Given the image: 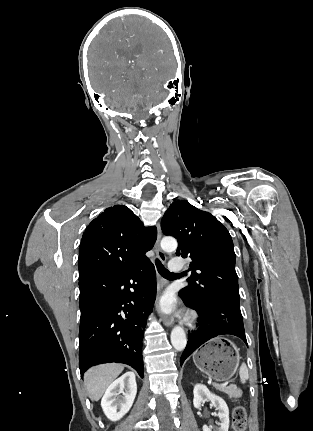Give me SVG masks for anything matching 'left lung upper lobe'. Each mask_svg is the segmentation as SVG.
Wrapping results in <instances>:
<instances>
[{"mask_svg": "<svg viewBox=\"0 0 313 431\" xmlns=\"http://www.w3.org/2000/svg\"><path fill=\"white\" fill-rule=\"evenodd\" d=\"M166 235L178 241L177 256L191 258L189 284L180 290L191 304L207 301L239 303L233 241L222 223L212 214L187 201L173 202L161 220Z\"/></svg>", "mask_w": 313, "mask_h": 431, "instance_id": "5c2ea615", "label": "left lung upper lobe"}]
</instances>
